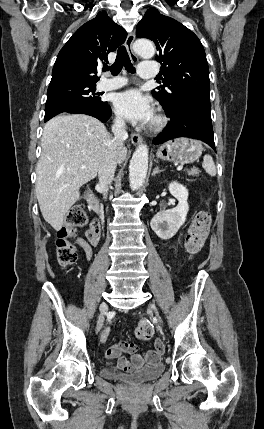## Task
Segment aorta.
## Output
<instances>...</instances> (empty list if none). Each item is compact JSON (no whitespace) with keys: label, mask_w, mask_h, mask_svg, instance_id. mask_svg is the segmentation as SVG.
I'll return each mask as SVG.
<instances>
[{"label":"aorta","mask_w":264,"mask_h":429,"mask_svg":"<svg viewBox=\"0 0 264 429\" xmlns=\"http://www.w3.org/2000/svg\"><path fill=\"white\" fill-rule=\"evenodd\" d=\"M135 52L146 59L155 55L154 44L146 39L136 40L134 43ZM148 170V147L146 144H140L130 161L129 181L132 190H138L145 181Z\"/></svg>","instance_id":"aorta-1"}]
</instances>
